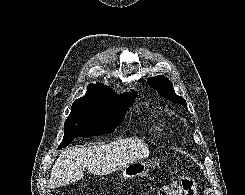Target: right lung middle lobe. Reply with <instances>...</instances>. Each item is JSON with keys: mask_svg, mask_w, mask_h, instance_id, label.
<instances>
[{"mask_svg": "<svg viewBox=\"0 0 245 195\" xmlns=\"http://www.w3.org/2000/svg\"><path fill=\"white\" fill-rule=\"evenodd\" d=\"M134 99L113 103L80 98L72 104L71 113L64 124V138L59 149L76 137L99 136L114 132Z\"/></svg>", "mask_w": 245, "mask_h": 195, "instance_id": "right-lung-middle-lobe-1", "label": "right lung middle lobe"}]
</instances>
